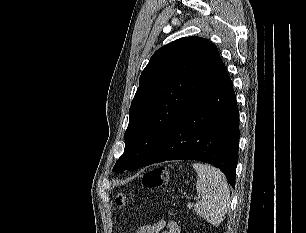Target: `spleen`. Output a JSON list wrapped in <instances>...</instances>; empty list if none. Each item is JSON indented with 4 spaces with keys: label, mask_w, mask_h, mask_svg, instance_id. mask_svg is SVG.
<instances>
[{
    "label": "spleen",
    "mask_w": 306,
    "mask_h": 233,
    "mask_svg": "<svg viewBox=\"0 0 306 233\" xmlns=\"http://www.w3.org/2000/svg\"><path fill=\"white\" fill-rule=\"evenodd\" d=\"M193 168L198 175L196 190L201 195L194 211L213 226H218L223 221L230 202L226 177L218 168L207 164L194 163Z\"/></svg>",
    "instance_id": "3e777b00"
}]
</instances>
